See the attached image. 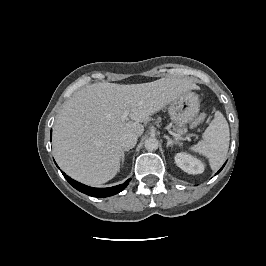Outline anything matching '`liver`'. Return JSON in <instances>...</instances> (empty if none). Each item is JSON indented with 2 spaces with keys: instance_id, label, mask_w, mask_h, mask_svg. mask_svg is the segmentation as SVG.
I'll return each instance as SVG.
<instances>
[{
  "instance_id": "liver-1",
  "label": "liver",
  "mask_w": 266,
  "mask_h": 266,
  "mask_svg": "<svg viewBox=\"0 0 266 266\" xmlns=\"http://www.w3.org/2000/svg\"><path fill=\"white\" fill-rule=\"evenodd\" d=\"M192 89L196 85L184 78L130 85L94 83L81 89L64 103L53 128L57 163L79 182L106 183L119 172L122 136H141L142 122ZM125 111L128 121L121 119Z\"/></svg>"
}]
</instances>
